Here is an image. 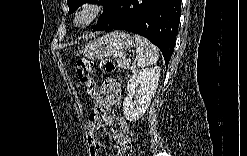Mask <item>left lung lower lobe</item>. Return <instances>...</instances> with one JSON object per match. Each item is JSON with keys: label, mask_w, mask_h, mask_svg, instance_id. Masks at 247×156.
Here are the masks:
<instances>
[{"label": "left lung lower lobe", "mask_w": 247, "mask_h": 156, "mask_svg": "<svg viewBox=\"0 0 247 156\" xmlns=\"http://www.w3.org/2000/svg\"><path fill=\"white\" fill-rule=\"evenodd\" d=\"M181 0H116L93 32L120 29L149 39L162 52L166 65L173 54Z\"/></svg>", "instance_id": "1"}]
</instances>
